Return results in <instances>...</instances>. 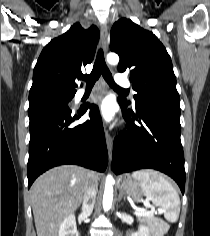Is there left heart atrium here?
Masks as SVG:
<instances>
[{"label":"left heart atrium","instance_id":"39dd6f15","mask_svg":"<svg viewBox=\"0 0 210 236\" xmlns=\"http://www.w3.org/2000/svg\"><path fill=\"white\" fill-rule=\"evenodd\" d=\"M98 115L106 122H111L115 115L114 104L110 99L101 100L96 107Z\"/></svg>","mask_w":210,"mask_h":236}]
</instances>
